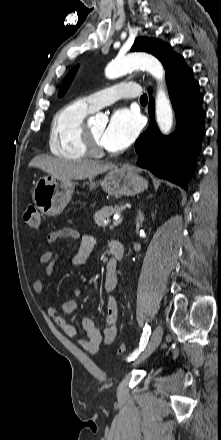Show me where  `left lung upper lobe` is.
Instances as JSON below:
<instances>
[{"label": "left lung upper lobe", "mask_w": 221, "mask_h": 440, "mask_svg": "<svg viewBox=\"0 0 221 440\" xmlns=\"http://www.w3.org/2000/svg\"><path fill=\"white\" fill-rule=\"evenodd\" d=\"M131 51H144L153 54L156 56L162 64L164 63L166 57L169 53L173 52L170 45L162 42L161 40L146 38V37H138L135 39V42L131 48ZM78 66H75L64 78L62 84L59 89V97L63 96L68 90L75 73L77 71Z\"/></svg>", "instance_id": "1"}]
</instances>
